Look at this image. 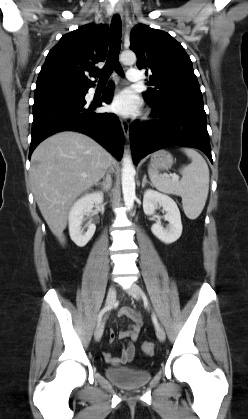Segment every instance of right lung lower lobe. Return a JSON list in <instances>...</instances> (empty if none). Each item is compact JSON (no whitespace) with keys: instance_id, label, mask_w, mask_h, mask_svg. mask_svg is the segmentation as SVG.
<instances>
[{"instance_id":"right-lung-lower-lobe-1","label":"right lung lower lobe","mask_w":248,"mask_h":419,"mask_svg":"<svg viewBox=\"0 0 248 419\" xmlns=\"http://www.w3.org/2000/svg\"><path fill=\"white\" fill-rule=\"evenodd\" d=\"M114 86L111 83L102 98L88 104L84 96L63 94L34 98L31 156L36 146L48 136L64 130L79 131L89 135L117 157H122L123 130L118 117L112 113H96L102 102L109 104ZM87 93V92H86Z\"/></svg>"}]
</instances>
